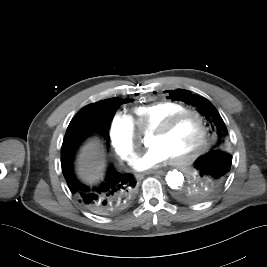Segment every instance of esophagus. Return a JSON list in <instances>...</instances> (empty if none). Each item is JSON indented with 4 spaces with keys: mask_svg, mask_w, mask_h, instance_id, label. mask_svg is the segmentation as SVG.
<instances>
[{
    "mask_svg": "<svg viewBox=\"0 0 267 267\" xmlns=\"http://www.w3.org/2000/svg\"><path fill=\"white\" fill-rule=\"evenodd\" d=\"M150 173H155V171H152ZM157 173H162V171H157ZM139 178L141 177V175L138 176Z\"/></svg>",
    "mask_w": 267,
    "mask_h": 267,
    "instance_id": "34e87169",
    "label": "esophagus"
}]
</instances>
